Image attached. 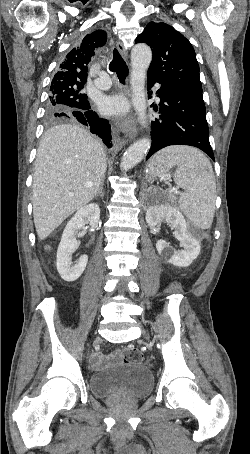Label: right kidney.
Returning a JSON list of instances; mask_svg holds the SVG:
<instances>
[{"label":"right kidney","mask_w":250,"mask_h":454,"mask_svg":"<svg viewBox=\"0 0 250 454\" xmlns=\"http://www.w3.org/2000/svg\"><path fill=\"white\" fill-rule=\"evenodd\" d=\"M100 218V208L96 203L83 206L74 214L67 223L57 250V270L67 282L77 280L86 268L88 256L82 255L76 264L71 265V254L78 247L76 233L85 223H89L92 228L98 226Z\"/></svg>","instance_id":"obj_1"}]
</instances>
